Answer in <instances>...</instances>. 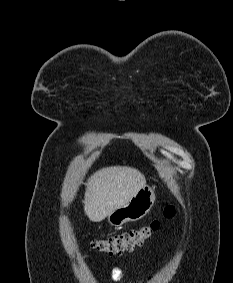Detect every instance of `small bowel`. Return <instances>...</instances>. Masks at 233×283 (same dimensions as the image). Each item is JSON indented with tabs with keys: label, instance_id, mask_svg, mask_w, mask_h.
<instances>
[{
	"label": "small bowel",
	"instance_id": "c3829d8e",
	"mask_svg": "<svg viewBox=\"0 0 233 283\" xmlns=\"http://www.w3.org/2000/svg\"><path fill=\"white\" fill-rule=\"evenodd\" d=\"M111 275H112L113 280H115V281H119V280L122 279V271H121V269L118 268V267H115V268L112 270Z\"/></svg>",
	"mask_w": 233,
	"mask_h": 283
}]
</instances>
